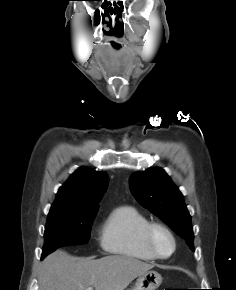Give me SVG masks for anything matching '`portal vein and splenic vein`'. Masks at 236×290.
Returning <instances> with one entry per match:
<instances>
[{
	"instance_id": "portal-vein-and-splenic-vein-1",
	"label": "portal vein and splenic vein",
	"mask_w": 236,
	"mask_h": 290,
	"mask_svg": "<svg viewBox=\"0 0 236 290\" xmlns=\"http://www.w3.org/2000/svg\"><path fill=\"white\" fill-rule=\"evenodd\" d=\"M86 290H93V288L92 287H88Z\"/></svg>"
}]
</instances>
